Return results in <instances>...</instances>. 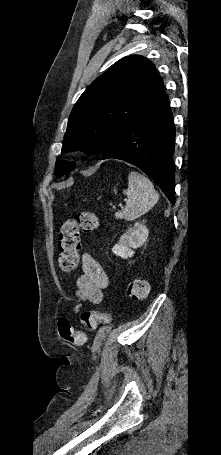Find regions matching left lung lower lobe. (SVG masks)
<instances>
[{
  "mask_svg": "<svg viewBox=\"0 0 221 455\" xmlns=\"http://www.w3.org/2000/svg\"><path fill=\"white\" fill-rule=\"evenodd\" d=\"M175 126L167 94L128 124L102 152V159L124 160L140 168L175 203L173 151Z\"/></svg>",
  "mask_w": 221,
  "mask_h": 455,
  "instance_id": "1",
  "label": "left lung lower lobe"
}]
</instances>
